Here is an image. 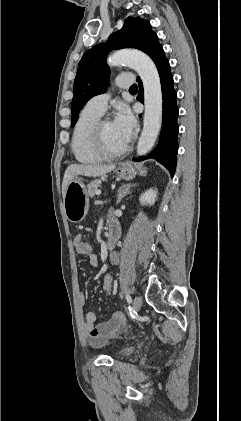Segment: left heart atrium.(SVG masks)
<instances>
[{"mask_svg":"<svg viewBox=\"0 0 241 421\" xmlns=\"http://www.w3.org/2000/svg\"><path fill=\"white\" fill-rule=\"evenodd\" d=\"M113 124L123 139L128 143L136 130V121L130 110L126 107H120Z\"/></svg>","mask_w":241,"mask_h":421,"instance_id":"left-heart-atrium-1","label":"left heart atrium"}]
</instances>
